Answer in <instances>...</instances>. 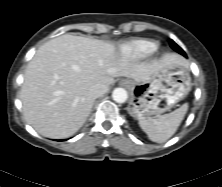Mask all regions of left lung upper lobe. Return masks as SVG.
<instances>
[{
	"label": "left lung upper lobe",
	"instance_id": "obj_1",
	"mask_svg": "<svg viewBox=\"0 0 222 187\" xmlns=\"http://www.w3.org/2000/svg\"><path fill=\"white\" fill-rule=\"evenodd\" d=\"M170 46L172 47V49H174L178 53L182 55L185 54L184 51L173 40H170Z\"/></svg>",
	"mask_w": 222,
	"mask_h": 187
}]
</instances>
